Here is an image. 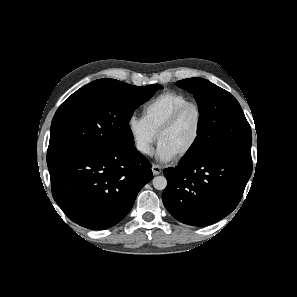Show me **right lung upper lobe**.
<instances>
[{
	"mask_svg": "<svg viewBox=\"0 0 297 297\" xmlns=\"http://www.w3.org/2000/svg\"><path fill=\"white\" fill-rule=\"evenodd\" d=\"M106 79H108V78H106ZM100 80H103V79L95 80V81H93V82L87 84L86 86H88V87H89V86H95V85H97V84L100 82Z\"/></svg>",
	"mask_w": 297,
	"mask_h": 297,
	"instance_id": "right-lung-upper-lobe-1",
	"label": "right lung upper lobe"
}]
</instances>
